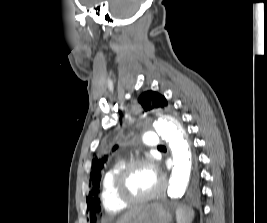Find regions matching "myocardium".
Masks as SVG:
<instances>
[{
  "instance_id": "1",
  "label": "myocardium",
  "mask_w": 267,
  "mask_h": 223,
  "mask_svg": "<svg viewBox=\"0 0 267 223\" xmlns=\"http://www.w3.org/2000/svg\"><path fill=\"white\" fill-rule=\"evenodd\" d=\"M138 166H146L158 177L157 187L150 193L140 197H130L126 194L124 185L128 175ZM165 185L164 177L159 174L155 160L150 156H142L126 162L119 170L113 181V190L116 197L124 204H140L157 198L163 191Z\"/></svg>"
}]
</instances>
